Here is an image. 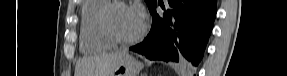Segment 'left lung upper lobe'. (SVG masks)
I'll return each mask as SVG.
<instances>
[{"label":"left lung upper lobe","mask_w":287,"mask_h":76,"mask_svg":"<svg viewBox=\"0 0 287 76\" xmlns=\"http://www.w3.org/2000/svg\"><path fill=\"white\" fill-rule=\"evenodd\" d=\"M145 2L148 5L149 10L152 8V6L157 2L156 0H145Z\"/></svg>","instance_id":"5c2ea615"}]
</instances>
